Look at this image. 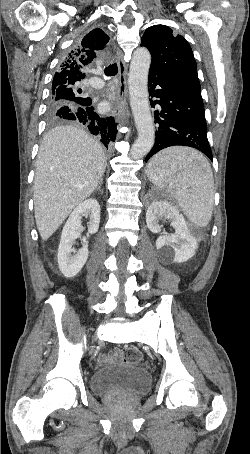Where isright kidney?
I'll list each match as a JSON object with an SVG mask.
<instances>
[{"mask_svg": "<svg viewBox=\"0 0 250 454\" xmlns=\"http://www.w3.org/2000/svg\"><path fill=\"white\" fill-rule=\"evenodd\" d=\"M83 216H89L88 232L94 234L98 231L100 223V205L94 198L87 199L80 203L71 213L61 234V240L58 248L59 269L65 277H74L77 275L88 259V240L82 237V248L75 251L72 245L80 237ZM72 252L75 254L72 255Z\"/></svg>", "mask_w": 250, "mask_h": 454, "instance_id": "obj_1", "label": "right kidney"}]
</instances>
